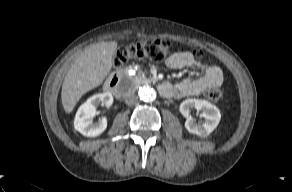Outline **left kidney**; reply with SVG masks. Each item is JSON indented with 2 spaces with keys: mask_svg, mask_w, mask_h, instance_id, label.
I'll use <instances>...</instances> for the list:
<instances>
[{
  "mask_svg": "<svg viewBox=\"0 0 292 192\" xmlns=\"http://www.w3.org/2000/svg\"><path fill=\"white\" fill-rule=\"evenodd\" d=\"M195 108L197 111H202L201 116L205 119L202 124L194 122L190 116V110ZM181 114L186 117L185 128L192 134L198 136H207L218 126L221 114L219 109L209 101L201 99H186L179 107Z\"/></svg>",
  "mask_w": 292,
  "mask_h": 192,
  "instance_id": "obj_1",
  "label": "left kidney"
}]
</instances>
